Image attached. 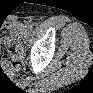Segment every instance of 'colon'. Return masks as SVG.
<instances>
[{
  "label": "colon",
  "mask_w": 93,
  "mask_h": 93,
  "mask_svg": "<svg viewBox=\"0 0 93 93\" xmlns=\"http://www.w3.org/2000/svg\"><path fill=\"white\" fill-rule=\"evenodd\" d=\"M12 23L14 24V22H12ZM1 33H2V39L5 42L6 39L8 38V36L11 35L12 30H8L2 25ZM21 62H22L21 57L8 55V56L4 57L2 65L4 68H12V67L15 68V67L21 66Z\"/></svg>",
  "instance_id": "5ec220e1"
}]
</instances>
